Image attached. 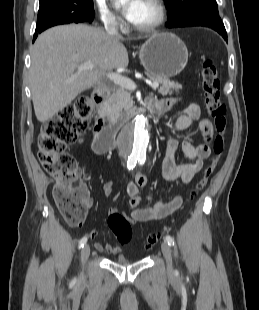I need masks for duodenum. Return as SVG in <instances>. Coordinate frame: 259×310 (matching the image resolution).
Listing matches in <instances>:
<instances>
[{"label":"duodenum","instance_id":"obj_1","mask_svg":"<svg viewBox=\"0 0 259 310\" xmlns=\"http://www.w3.org/2000/svg\"><path fill=\"white\" fill-rule=\"evenodd\" d=\"M110 95L109 87H101L93 94V100L96 107V121L94 126L93 146L99 153L108 152L115 145V135L118 124H106L105 105ZM147 108L154 113H162L163 110L152 98H146L142 105L136 106L130 113V117H135L141 111Z\"/></svg>","mask_w":259,"mask_h":310}]
</instances>
